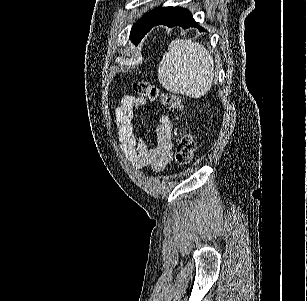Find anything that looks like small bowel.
<instances>
[{
	"instance_id": "c3829d8e",
	"label": "small bowel",
	"mask_w": 307,
	"mask_h": 301,
	"mask_svg": "<svg viewBox=\"0 0 307 301\" xmlns=\"http://www.w3.org/2000/svg\"><path fill=\"white\" fill-rule=\"evenodd\" d=\"M147 106L144 97L126 95L115 109V123L119 132L120 149L126 159L136 168H151L162 171L172 159V121L161 114L154 131V145L148 147L143 138L137 135L135 111Z\"/></svg>"
}]
</instances>
